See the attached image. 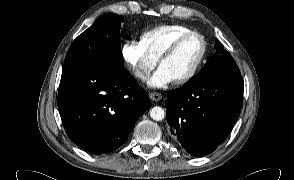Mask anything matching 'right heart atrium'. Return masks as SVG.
Masks as SVG:
<instances>
[{"label": "right heart atrium", "instance_id": "obj_1", "mask_svg": "<svg viewBox=\"0 0 294 180\" xmlns=\"http://www.w3.org/2000/svg\"><path fill=\"white\" fill-rule=\"evenodd\" d=\"M121 52L134 77L141 81L147 78L158 61L144 49L139 41L134 39L127 40L122 45Z\"/></svg>", "mask_w": 294, "mask_h": 180}]
</instances>
